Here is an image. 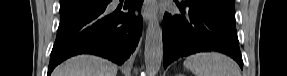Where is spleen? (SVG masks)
<instances>
[{
  "label": "spleen",
  "instance_id": "spleen-1",
  "mask_svg": "<svg viewBox=\"0 0 287 76\" xmlns=\"http://www.w3.org/2000/svg\"><path fill=\"white\" fill-rule=\"evenodd\" d=\"M184 67L196 76H241L238 65L220 53H197L186 58Z\"/></svg>",
  "mask_w": 287,
  "mask_h": 76
}]
</instances>
